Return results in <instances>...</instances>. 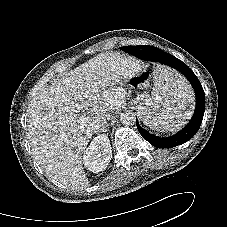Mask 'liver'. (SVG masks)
<instances>
[{"instance_id": "6515ba94", "label": "liver", "mask_w": 227, "mask_h": 227, "mask_svg": "<svg viewBox=\"0 0 227 227\" xmlns=\"http://www.w3.org/2000/svg\"><path fill=\"white\" fill-rule=\"evenodd\" d=\"M135 68L118 53H101L35 94L27 110V137L48 177L74 190L89 187L83 153L93 133L104 128L97 129V121L122 104L123 93L110 89L132 78Z\"/></svg>"}]
</instances>
